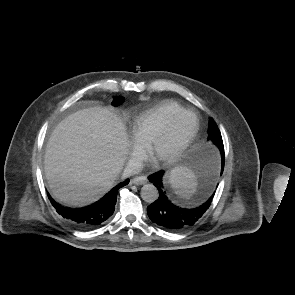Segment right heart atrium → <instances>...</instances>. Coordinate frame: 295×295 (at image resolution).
I'll use <instances>...</instances> for the list:
<instances>
[{"mask_svg": "<svg viewBox=\"0 0 295 295\" xmlns=\"http://www.w3.org/2000/svg\"><path fill=\"white\" fill-rule=\"evenodd\" d=\"M144 157V147L136 141L132 144L130 152V165L137 167L141 164Z\"/></svg>", "mask_w": 295, "mask_h": 295, "instance_id": "obj_1", "label": "right heart atrium"}]
</instances>
